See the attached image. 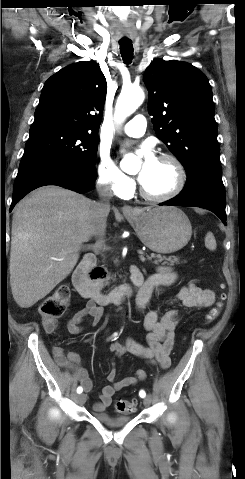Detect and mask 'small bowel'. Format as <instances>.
<instances>
[{"label": "small bowel", "mask_w": 245, "mask_h": 479, "mask_svg": "<svg viewBox=\"0 0 245 479\" xmlns=\"http://www.w3.org/2000/svg\"><path fill=\"white\" fill-rule=\"evenodd\" d=\"M134 269L136 268H132V270ZM175 280V272L167 267H160L155 273L147 277L136 300L138 311H145L153 291L161 290L173 284ZM214 300L215 294L212 290L192 282L182 287L172 302H179L186 309H198L210 306ZM101 316L102 309L95 301L89 300L82 309L68 319L67 330L72 335H78L83 331L85 323L96 326ZM180 321V311L176 309L168 310L162 315L157 310H151L144 317V327L147 330L146 345L128 339L112 343L109 350L118 358L123 357L126 353H131L146 359L150 363L159 365L162 369H168L171 366L170 354L174 347L175 331ZM53 357L59 367L75 374L76 379L86 392L92 389V381L86 369L81 366L80 357L76 352H69L65 355L61 347H54ZM107 378L110 384L103 387L99 401L93 405V410L96 413H103L111 405L116 391L134 386L145 380L146 372L143 369H138L132 376L118 380L116 369L113 366Z\"/></svg>", "instance_id": "1"}]
</instances>
